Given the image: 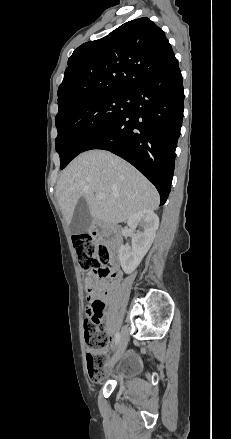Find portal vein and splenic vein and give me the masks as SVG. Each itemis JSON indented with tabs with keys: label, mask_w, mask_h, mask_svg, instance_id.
<instances>
[{
	"label": "portal vein and splenic vein",
	"mask_w": 231,
	"mask_h": 439,
	"mask_svg": "<svg viewBox=\"0 0 231 439\" xmlns=\"http://www.w3.org/2000/svg\"><path fill=\"white\" fill-rule=\"evenodd\" d=\"M96 198H97L98 200H102V199H104V194H102V193H98V194H96Z\"/></svg>",
	"instance_id": "portal-vein-and-splenic-vein-1"
}]
</instances>
